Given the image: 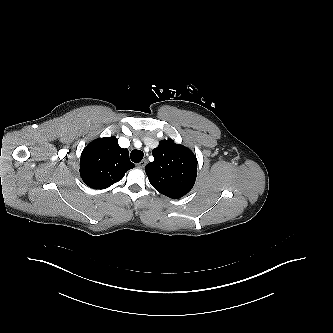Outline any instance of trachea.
Returning <instances> with one entry per match:
<instances>
[{"label":"trachea","instance_id":"3493384b","mask_svg":"<svg viewBox=\"0 0 333 333\" xmlns=\"http://www.w3.org/2000/svg\"><path fill=\"white\" fill-rule=\"evenodd\" d=\"M144 153L141 150H133L130 158L134 163H140L143 159Z\"/></svg>","mask_w":333,"mask_h":333}]
</instances>
